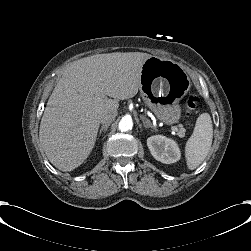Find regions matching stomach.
Wrapping results in <instances>:
<instances>
[{"mask_svg":"<svg viewBox=\"0 0 251 251\" xmlns=\"http://www.w3.org/2000/svg\"><path fill=\"white\" fill-rule=\"evenodd\" d=\"M160 83L165 85L163 94ZM189 88L190 79L176 62L155 56L144 61L140 95L144 103L166 124L176 123L180 119L179 101Z\"/></svg>","mask_w":251,"mask_h":251,"instance_id":"obj_1","label":"stomach"}]
</instances>
